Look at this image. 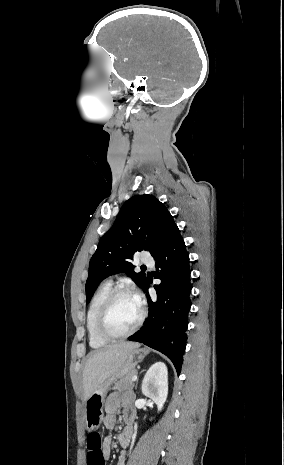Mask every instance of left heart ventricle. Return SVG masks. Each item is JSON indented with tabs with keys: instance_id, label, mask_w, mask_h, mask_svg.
Listing matches in <instances>:
<instances>
[{
	"instance_id": "b2bd125f",
	"label": "left heart ventricle",
	"mask_w": 284,
	"mask_h": 465,
	"mask_svg": "<svg viewBox=\"0 0 284 465\" xmlns=\"http://www.w3.org/2000/svg\"><path fill=\"white\" fill-rule=\"evenodd\" d=\"M140 318V307L133 297L119 298L113 305L107 322V331L114 336L129 333Z\"/></svg>"
}]
</instances>
